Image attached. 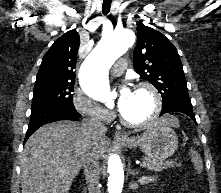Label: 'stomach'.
<instances>
[{
	"label": "stomach",
	"mask_w": 221,
	"mask_h": 193,
	"mask_svg": "<svg viewBox=\"0 0 221 193\" xmlns=\"http://www.w3.org/2000/svg\"><path fill=\"white\" fill-rule=\"evenodd\" d=\"M121 145L128 148L139 147L149 159L162 161L174 154L178 147V138L171 126L158 119L142 134L122 140Z\"/></svg>",
	"instance_id": "0dacf381"
}]
</instances>
